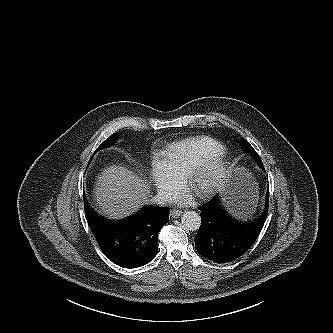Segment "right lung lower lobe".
<instances>
[{
  "label": "right lung lower lobe",
  "mask_w": 333,
  "mask_h": 333,
  "mask_svg": "<svg viewBox=\"0 0 333 333\" xmlns=\"http://www.w3.org/2000/svg\"><path fill=\"white\" fill-rule=\"evenodd\" d=\"M85 216L103 253L125 268L143 266L154 259L158 233L169 221V208L146 206L121 220H109L93 211L85 201Z\"/></svg>",
  "instance_id": "1"
}]
</instances>
